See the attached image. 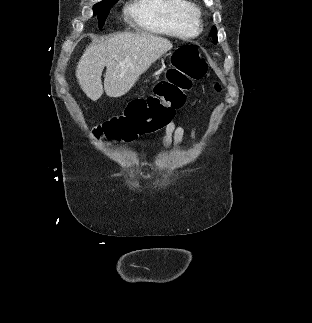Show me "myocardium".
<instances>
[{"label":"myocardium","mask_w":312,"mask_h":323,"mask_svg":"<svg viewBox=\"0 0 312 323\" xmlns=\"http://www.w3.org/2000/svg\"><path fill=\"white\" fill-rule=\"evenodd\" d=\"M182 15H185V12H182ZM187 15L191 17V19H200V17H204L206 12L204 10H189Z\"/></svg>","instance_id":"obj_1"}]
</instances>
